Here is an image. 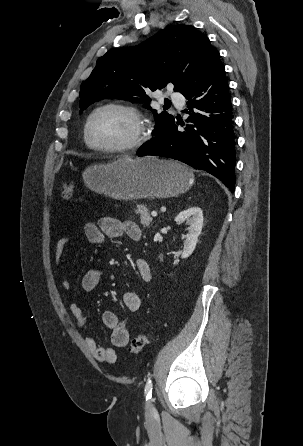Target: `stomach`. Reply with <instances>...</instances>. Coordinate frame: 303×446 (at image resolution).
Segmentation results:
<instances>
[{"instance_id":"1","label":"stomach","mask_w":303,"mask_h":446,"mask_svg":"<svg viewBox=\"0 0 303 446\" xmlns=\"http://www.w3.org/2000/svg\"><path fill=\"white\" fill-rule=\"evenodd\" d=\"M92 191L117 200L167 198L186 192L194 176L176 161L155 157H124L88 167L83 173Z\"/></svg>"}]
</instances>
